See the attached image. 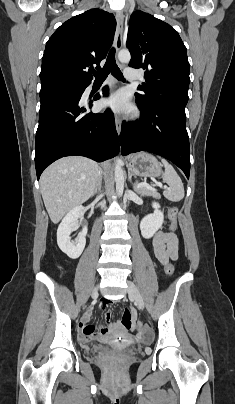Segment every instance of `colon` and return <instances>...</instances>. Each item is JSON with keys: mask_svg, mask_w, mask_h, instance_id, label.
<instances>
[{"mask_svg": "<svg viewBox=\"0 0 235 404\" xmlns=\"http://www.w3.org/2000/svg\"><path fill=\"white\" fill-rule=\"evenodd\" d=\"M176 214L177 208L171 207L170 208V229L174 231L176 229ZM166 273L171 276L174 273V268L172 264L168 263L166 265ZM121 324L127 330H134L140 327V324L135 322L132 312L129 309H124L122 317H121Z\"/></svg>", "mask_w": 235, "mask_h": 404, "instance_id": "obj_1", "label": "colon"}]
</instances>
